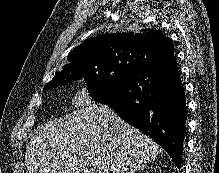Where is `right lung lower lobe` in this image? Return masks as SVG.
<instances>
[{"mask_svg": "<svg viewBox=\"0 0 219 173\" xmlns=\"http://www.w3.org/2000/svg\"><path fill=\"white\" fill-rule=\"evenodd\" d=\"M122 119L157 142L180 168L186 135V98L176 59L139 64L106 103Z\"/></svg>", "mask_w": 219, "mask_h": 173, "instance_id": "1", "label": "right lung lower lobe"}]
</instances>
